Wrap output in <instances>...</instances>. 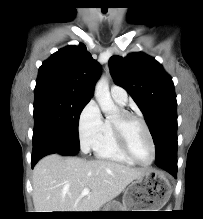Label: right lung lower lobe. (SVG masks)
Returning <instances> with one entry per match:
<instances>
[{
    "label": "right lung lower lobe",
    "instance_id": "right-lung-lower-lobe-1",
    "mask_svg": "<svg viewBox=\"0 0 203 219\" xmlns=\"http://www.w3.org/2000/svg\"><path fill=\"white\" fill-rule=\"evenodd\" d=\"M49 152H50V146L46 143H39L33 145L32 162H31L32 168L43 156L49 154Z\"/></svg>",
    "mask_w": 203,
    "mask_h": 219
}]
</instances>
